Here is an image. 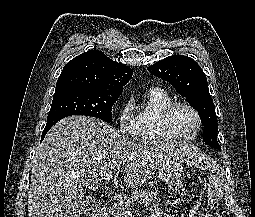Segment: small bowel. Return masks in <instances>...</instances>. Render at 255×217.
<instances>
[{"instance_id":"small-bowel-1","label":"small bowel","mask_w":255,"mask_h":217,"mask_svg":"<svg viewBox=\"0 0 255 217\" xmlns=\"http://www.w3.org/2000/svg\"><path fill=\"white\" fill-rule=\"evenodd\" d=\"M150 217H175V216L170 213L163 214L159 206L152 205L150 207Z\"/></svg>"}]
</instances>
